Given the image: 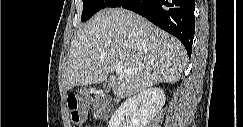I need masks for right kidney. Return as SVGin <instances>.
<instances>
[{"mask_svg":"<svg viewBox=\"0 0 243 127\" xmlns=\"http://www.w3.org/2000/svg\"><path fill=\"white\" fill-rule=\"evenodd\" d=\"M166 101L162 89L151 87L127 99L112 115L108 127H145Z\"/></svg>","mask_w":243,"mask_h":127,"instance_id":"1","label":"right kidney"}]
</instances>
